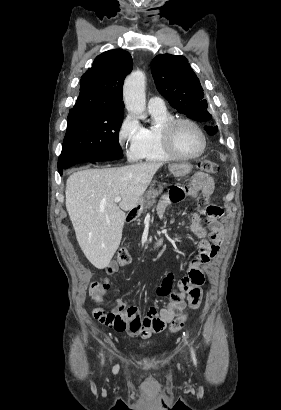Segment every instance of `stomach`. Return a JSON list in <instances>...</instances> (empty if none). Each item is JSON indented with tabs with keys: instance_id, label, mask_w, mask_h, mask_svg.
Returning a JSON list of instances; mask_svg holds the SVG:
<instances>
[{
	"instance_id": "1",
	"label": "stomach",
	"mask_w": 281,
	"mask_h": 410,
	"mask_svg": "<svg viewBox=\"0 0 281 410\" xmlns=\"http://www.w3.org/2000/svg\"><path fill=\"white\" fill-rule=\"evenodd\" d=\"M192 170V165L188 163H182V164H171L169 165V171L175 176V177H182L190 173ZM148 192L147 194L143 195L137 205L133 208L132 212L134 215L138 216L140 215L146 206V200H147Z\"/></svg>"
}]
</instances>
